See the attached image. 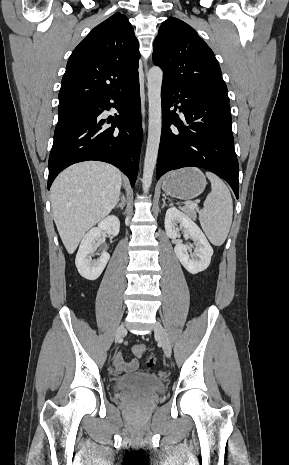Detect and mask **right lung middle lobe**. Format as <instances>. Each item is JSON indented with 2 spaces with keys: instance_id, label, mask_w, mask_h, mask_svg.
Masks as SVG:
<instances>
[{
  "instance_id": "right-lung-middle-lobe-1",
  "label": "right lung middle lobe",
  "mask_w": 289,
  "mask_h": 465,
  "mask_svg": "<svg viewBox=\"0 0 289 465\" xmlns=\"http://www.w3.org/2000/svg\"><path fill=\"white\" fill-rule=\"evenodd\" d=\"M93 101H78L59 105L58 107V123L55 129L63 127L71 122L88 116L92 109Z\"/></svg>"
}]
</instances>
